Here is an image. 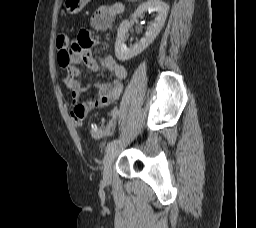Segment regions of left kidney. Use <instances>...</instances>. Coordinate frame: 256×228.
Returning a JSON list of instances; mask_svg holds the SVG:
<instances>
[{
	"instance_id": "left-kidney-1",
	"label": "left kidney",
	"mask_w": 256,
	"mask_h": 228,
	"mask_svg": "<svg viewBox=\"0 0 256 228\" xmlns=\"http://www.w3.org/2000/svg\"><path fill=\"white\" fill-rule=\"evenodd\" d=\"M147 11H155L157 12V16L155 17L154 22L147 27L145 36L133 46L127 47L125 44L126 34L131 26L130 22L125 20L120 24L115 42V55L119 61H126L133 58L154 41L165 23L169 6L161 0H148L137 8L132 14V17H141L143 13Z\"/></svg>"
}]
</instances>
